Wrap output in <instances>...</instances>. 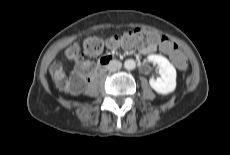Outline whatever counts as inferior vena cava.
<instances>
[{
    "mask_svg": "<svg viewBox=\"0 0 230 155\" xmlns=\"http://www.w3.org/2000/svg\"><path fill=\"white\" fill-rule=\"evenodd\" d=\"M121 67H122V63L120 61L114 60L108 64L107 69L109 71L115 72L117 70H120Z\"/></svg>",
    "mask_w": 230,
    "mask_h": 155,
    "instance_id": "obj_1",
    "label": "inferior vena cava"
}]
</instances>
